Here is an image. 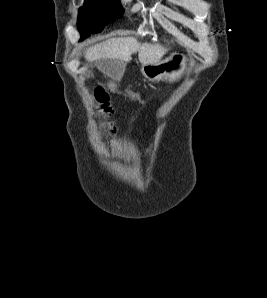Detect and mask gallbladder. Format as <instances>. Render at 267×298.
<instances>
[{
  "instance_id": "gallbladder-1",
  "label": "gallbladder",
  "mask_w": 267,
  "mask_h": 298,
  "mask_svg": "<svg viewBox=\"0 0 267 298\" xmlns=\"http://www.w3.org/2000/svg\"><path fill=\"white\" fill-rule=\"evenodd\" d=\"M122 65L120 62H116L112 59H100L96 61V66L104 73H111L118 70L117 66Z\"/></svg>"
}]
</instances>
